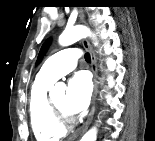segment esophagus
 Listing matches in <instances>:
<instances>
[{"mask_svg":"<svg viewBox=\"0 0 155 141\" xmlns=\"http://www.w3.org/2000/svg\"><path fill=\"white\" fill-rule=\"evenodd\" d=\"M79 17L83 21L84 15L82 13L79 14ZM83 46L90 53V56H91V70L93 73L94 93H93V97H92V108H91V111L88 115V118H87V120H86V122L82 128L81 135L88 129V127L92 121V118H93V115L95 112L96 97H97V93H98V80H97L98 79V73H97L96 57H95V54L92 50V47L90 46V43L88 42L87 39L83 40Z\"/></svg>","mask_w":155,"mask_h":141,"instance_id":"esophagus-1","label":"esophagus"}]
</instances>
